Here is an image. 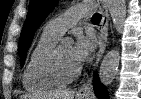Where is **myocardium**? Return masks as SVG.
I'll use <instances>...</instances> for the list:
<instances>
[{"mask_svg":"<svg viewBox=\"0 0 141 99\" xmlns=\"http://www.w3.org/2000/svg\"><path fill=\"white\" fill-rule=\"evenodd\" d=\"M61 45L56 44L48 52L44 59L43 70L44 73L52 80L59 84H67L78 78L81 72V68H77L74 72L70 74L64 73L59 65L58 53Z\"/></svg>","mask_w":141,"mask_h":99,"instance_id":"myocardium-1","label":"myocardium"}]
</instances>
